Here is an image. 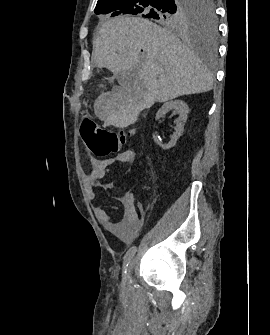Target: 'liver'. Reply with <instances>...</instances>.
<instances>
[{"mask_svg":"<svg viewBox=\"0 0 270 335\" xmlns=\"http://www.w3.org/2000/svg\"><path fill=\"white\" fill-rule=\"evenodd\" d=\"M140 50L145 58H140ZM97 68L138 72L145 106L212 90L213 78L171 32L144 18L117 16L102 24L93 46Z\"/></svg>","mask_w":270,"mask_h":335,"instance_id":"6515ba94","label":"liver"}]
</instances>
